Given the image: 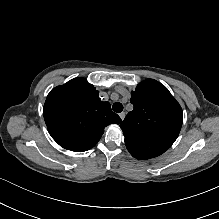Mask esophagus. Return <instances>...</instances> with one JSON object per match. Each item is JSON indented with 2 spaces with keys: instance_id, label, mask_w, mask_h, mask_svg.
<instances>
[{
  "instance_id": "34e87169",
  "label": "esophagus",
  "mask_w": 219,
  "mask_h": 219,
  "mask_svg": "<svg viewBox=\"0 0 219 219\" xmlns=\"http://www.w3.org/2000/svg\"><path fill=\"white\" fill-rule=\"evenodd\" d=\"M119 117H120V118H121V120L123 121V120H124V118H125V113H124V112L120 113V114H119Z\"/></svg>"
}]
</instances>
